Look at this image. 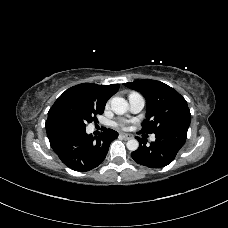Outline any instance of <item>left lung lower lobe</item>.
<instances>
[{"mask_svg":"<svg viewBox=\"0 0 228 228\" xmlns=\"http://www.w3.org/2000/svg\"><path fill=\"white\" fill-rule=\"evenodd\" d=\"M185 128H170L155 134V142L146 145L139 139V148L131 153L136 163L149 167L161 168L170 164L186 141Z\"/></svg>","mask_w":228,"mask_h":228,"instance_id":"obj_1","label":"left lung lower lobe"}]
</instances>
